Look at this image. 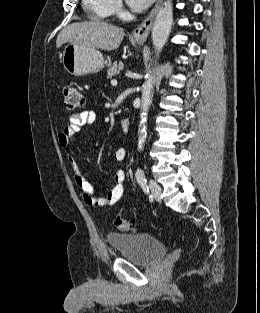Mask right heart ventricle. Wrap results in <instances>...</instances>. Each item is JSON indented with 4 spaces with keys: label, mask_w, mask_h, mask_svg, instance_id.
I'll return each mask as SVG.
<instances>
[{
    "label": "right heart ventricle",
    "mask_w": 260,
    "mask_h": 313,
    "mask_svg": "<svg viewBox=\"0 0 260 313\" xmlns=\"http://www.w3.org/2000/svg\"><path fill=\"white\" fill-rule=\"evenodd\" d=\"M83 4L95 20H106L113 13L110 0H83Z\"/></svg>",
    "instance_id": "e07e8e85"
}]
</instances>
